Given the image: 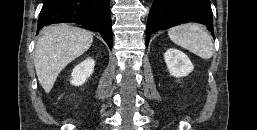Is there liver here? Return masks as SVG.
<instances>
[{"label":"liver","mask_w":257,"mask_h":130,"mask_svg":"<svg viewBox=\"0 0 257 130\" xmlns=\"http://www.w3.org/2000/svg\"><path fill=\"white\" fill-rule=\"evenodd\" d=\"M93 43V35L81 28L60 24L41 31L34 53L38 81L49 93L59 73L85 53Z\"/></svg>","instance_id":"liver-1"}]
</instances>
